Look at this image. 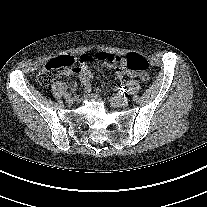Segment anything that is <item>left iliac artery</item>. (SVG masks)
Segmentation results:
<instances>
[{"instance_id": "left-iliac-artery-1", "label": "left iliac artery", "mask_w": 207, "mask_h": 207, "mask_svg": "<svg viewBox=\"0 0 207 207\" xmlns=\"http://www.w3.org/2000/svg\"><path fill=\"white\" fill-rule=\"evenodd\" d=\"M123 97H124L125 99H128V98L130 97V94H129L128 92H125V93L123 94Z\"/></svg>"}]
</instances>
